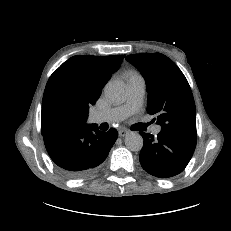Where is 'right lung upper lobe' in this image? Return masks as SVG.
I'll use <instances>...</instances> for the list:
<instances>
[{
  "label": "right lung upper lobe",
  "instance_id": "cb5924a9",
  "mask_svg": "<svg viewBox=\"0 0 231 231\" xmlns=\"http://www.w3.org/2000/svg\"><path fill=\"white\" fill-rule=\"evenodd\" d=\"M124 55H77L65 61L52 75L68 78L74 92L90 105L95 104L111 75L119 68Z\"/></svg>",
  "mask_w": 231,
  "mask_h": 231
}]
</instances>
